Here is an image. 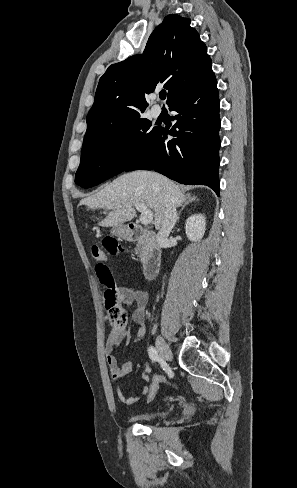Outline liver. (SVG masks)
Segmentation results:
<instances>
[{
	"instance_id": "liver-1",
	"label": "liver",
	"mask_w": 297,
	"mask_h": 488,
	"mask_svg": "<svg viewBox=\"0 0 297 488\" xmlns=\"http://www.w3.org/2000/svg\"><path fill=\"white\" fill-rule=\"evenodd\" d=\"M165 192L172 195L177 206L182 205L187 198L179 186L163 175L134 171L117 177L93 196L81 200L80 205L87 206L88 210H110L99 225L118 227L131 221L136 215L135 204L142 203L152 210L154 224L159 228L165 214Z\"/></svg>"
}]
</instances>
